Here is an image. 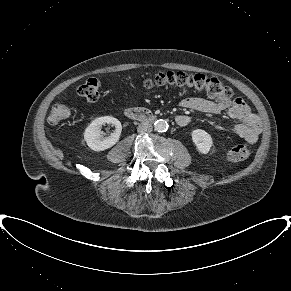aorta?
<instances>
[{"mask_svg":"<svg viewBox=\"0 0 291 291\" xmlns=\"http://www.w3.org/2000/svg\"><path fill=\"white\" fill-rule=\"evenodd\" d=\"M168 127H169L168 123L165 120H162V119L157 120L154 123V128L158 132H165V131L168 130Z\"/></svg>","mask_w":291,"mask_h":291,"instance_id":"aorta-1","label":"aorta"}]
</instances>
